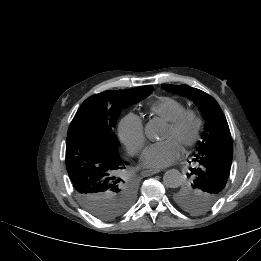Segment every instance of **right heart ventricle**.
Instances as JSON below:
<instances>
[{"label":"right heart ventricle","mask_w":261,"mask_h":261,"mask_svg":"<svg viewBox=\"0 0 261 261\" xmlns=\"http://www.w3.org/2000/svg\"><path fill=\"white\" fill-rule=\"evenodd\" d=\"M185 109L186 106L184 103L172 97H162L155 101L150 107L151 112L168 122Z\"/></svg>","instance_id":"right-heart-ventricle-1"}]
</instances>
